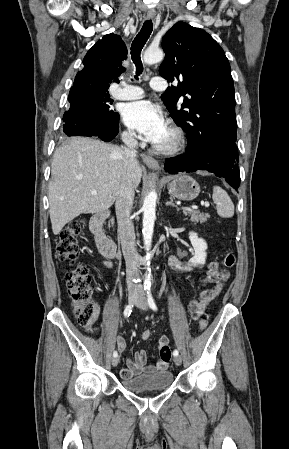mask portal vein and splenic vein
<instances>
[{"instance_id": "portal-vein-and-splenic-vein-1", "label": "portal vein and splenic vein", "mask_w": 289, "mask_h": 449, "mask_svg": "<svg viewBox=\"0 0 289 449\" xmlns=\"http://www.w3.org/2000/svg\"><path fill=\"white\" fill-rule=\"evenodd\" d=\"M91 193H92L93 195H95V194H97V191H96V190H92ZM203 205H204L205 207H209V203H208V202L203 203ZM182 209H183V211H189V212H193V211H194L193 209L188 208V207H183Z\"/></svg>"}]
</instances>
